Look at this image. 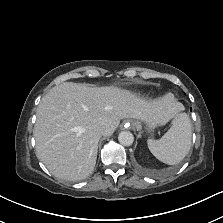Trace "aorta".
Wrapping results in <instances>:
<instances>
[{
    "label": "aorta",
    "instance_id": "aorta-1",
    "mask_svg": "<svg viewBox=\"0 0 223 223\" xmlns=\"http://www.w3.org/2000/svg\"><path fill=\"white\" fill-rule=\"evenodd\" d=\"M118 141L123 146H130L134 142V136L129 131H122L118 135Z\"/></svg>",
    "mask_w": 223,
    "mask_h": 223
}]
</instances>
